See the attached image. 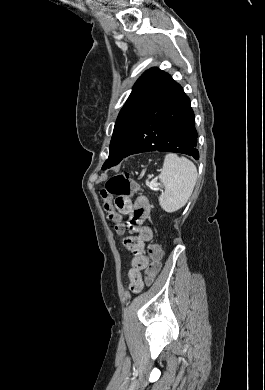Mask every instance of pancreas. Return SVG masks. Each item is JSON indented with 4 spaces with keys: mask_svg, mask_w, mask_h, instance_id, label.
Returning <instances> with one entry per match:
<instances>
[{
    "mask_svg": "<svg viewBox=\"0 0 265 390\" xmlns=\"http://www.w3.org/2000/svg\"><path fill=\"white\" fill-rule=\"evenodd\" d=\"M149 187H152V183L149 184Z\"/></svg>",
    "mask_w": 265,
    "mask_h": 390,
    "instance_id": "cf45deb5",
    "label": "pancreas"
}]
</instances>
